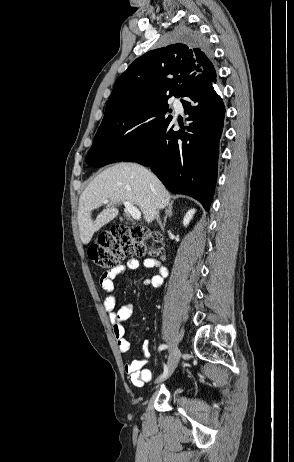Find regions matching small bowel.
I'll list each match as a JSON object with an SVG mask.
<instances>
[{
    "mask_svg": "<svg viewBox=\"0 0 294 462\" xmlns=\"http://www.w3.org/2000/svg\"><path fill=\"white\" fill-rule=\"evenodd\" d=\"M139 261L135 258L129 259L125 265H118L115 268L104 272L99 280L100 287L104 292V308L109 316L113 327V334L117 341L120 352L126 353L130 349V342L125 337V328L123 323L130 319L133 314V305L125 304L119 309H116V297L114 294L115 283L117 276L124 273L126 270H135L139 267ZM145 268H159V274L154 275L144 280V284L154 288H160L163 285L164 278L168 272L159 262L152 258H146L142 261ZM142 354L130 362L125 363L124 370L128 375L132 384L136 387H142L145 383L152 379L150 369L146 368L150 353L149 341L145 340L141 346Z\"/></svg>",
    "mask_w": 294,
    "mask_h": 462,
    "instance_id": "1",
    "label": "small bowel"
}]
</instances>
